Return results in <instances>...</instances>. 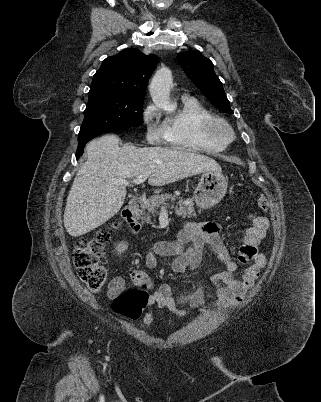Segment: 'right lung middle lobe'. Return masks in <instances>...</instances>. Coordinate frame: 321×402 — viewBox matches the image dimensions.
<instances>
[{
	"label": "right lung middle lobe",
	"mask_w": 321,
	"mask_h": 402,
	"mask_svg": "<svg viewBox=\"0 0 321 402\" xmlns=\"http://www.w3.org/2000/svg\"><path fill=\"white\" fill-rule=\"evenodd\" d=\"M144 99H132L108 92H89L85 118L79 136L140 126Z\"/></svg>",
	"instance_id": "right-lung-middle-lobe-1"
}]
</instances>
